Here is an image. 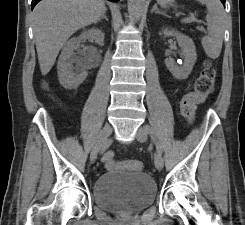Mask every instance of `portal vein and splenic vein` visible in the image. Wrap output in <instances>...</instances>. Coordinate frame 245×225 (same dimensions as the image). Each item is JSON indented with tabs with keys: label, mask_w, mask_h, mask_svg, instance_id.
Segmentation results:
<instances>
[{
	"label": "portal vein and splenic vein",
	"mask_w": 245,
	"mask_h": 225,
	"mask_svg": "<svg viewBox=\"0 0 245 225\" xmlns=\"http://www.w3.org/2000/svg\"><path fill=\"white\" fill-rule=\"evenodd\" d=\"M193 21H196V18L193 15H191L190 17H187V18L183 19V22H193ZM199 29L200 30H204L202 27L199 28Z\"/></svg>",
	"instance_id": "18ae733b"
}]
</instances>
